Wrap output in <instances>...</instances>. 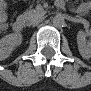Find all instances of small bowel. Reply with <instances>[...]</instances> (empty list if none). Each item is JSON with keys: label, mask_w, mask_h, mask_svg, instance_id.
Returning a JSON list of instances; mask_svg holds the SVG:
<instances>
[{"label": "small bowel", "mask_w": 91, "mask_h": 91, "mask_svg": "<svg viewBox=\"0 0 91 91\" xmlns=\"http://www.w3.org/2000/svg\"><path fill=\"white\" fill-rule=\"evenodd\" d=\"M0 22H1V27L5 28L6 27V14L4 12L0 14Z\"/></svg>", "instance_id": "obj_1"}]
</instances>
